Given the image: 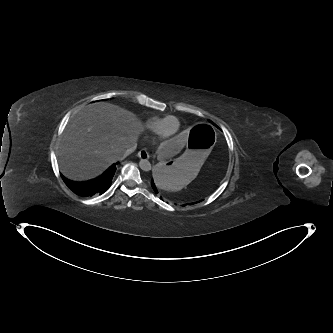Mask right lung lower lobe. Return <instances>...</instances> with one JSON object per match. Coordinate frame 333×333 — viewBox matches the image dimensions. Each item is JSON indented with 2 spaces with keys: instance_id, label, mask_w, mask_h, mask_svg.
<instances>
[{
  "instance_id": "1",
  "label": "right lung lower lobe",
  "mask_w": 333,
  "mask_h": 333,
  "mask_svg": "<svg viewBox=\"0 0 333 333\" xmlns=\"http://www.w3.org/2000/svg\"><path fill=\"white\" fill-rule=\"evenodd\" d=\"M116 166L113 164L101 176L84 182H75L63 177V181L75 194L88 197L95 194H102L107 191L112 183V178L115 174Z\"/></svg>"
}]
</instances>
